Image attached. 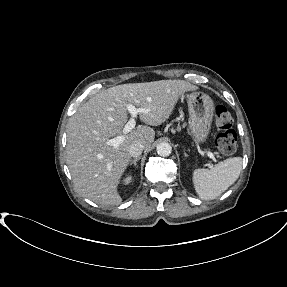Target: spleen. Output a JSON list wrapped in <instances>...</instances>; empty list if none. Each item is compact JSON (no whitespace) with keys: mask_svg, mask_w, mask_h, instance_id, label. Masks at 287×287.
Returning <instances> with one entry per match:
<instances>
[{"mask_svg":"<svg viewBox=\"0 0 287 287\" xmlns=\"http://www.w3.org/2000/svg\"><path fill=\"white\" fill-rule=\"evenodd\" d=\"M241 170V157L228 158L211 169H196L193 172L195 191L202 200L215 199L238 179Z\"/></svg>","mask_w":287,"mask_h":287,"instance_id":"1","label":"spleen"}]
</instances>
